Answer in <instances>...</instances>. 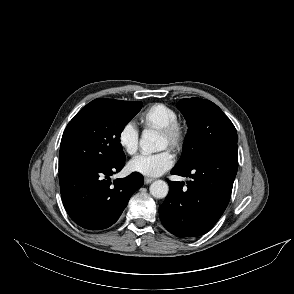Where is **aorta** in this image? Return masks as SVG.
I'll return each instance as SVG.
<instances>
[{
  "mask_svg": "<svg viewBox=\"0 0 294 294\" xmlns=\"http://www.w3.org/2000/svg\"><path fill=\"white\" fill-rule=\"evenodd\" d=\"M160 141V136L155 131L145 130L140 139V147L146 153H154L161 149ZM168 191V184L163 180H156L150 185V193L155 198H165Z\"/></svg>",
  "mask_w": 294,
  "mask_h": 294,
  "instance_id": "aorta-1",
  "label": "aorta"
}]
</instances>
